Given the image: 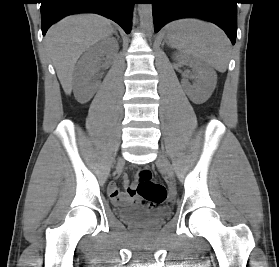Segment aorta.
<instances>
[{"label": "aorta", "mask_w": 279, "mask_h": 267, "mask_svg": "<svg viewBox=\"0 0 279 267\" xmlns=\"http://www.w3.org/2000/svg\"><path fill=\"white\" fill-rule=\"evenodd\" d=\"M138 13H139L141 27L145 31L150 32L153 28L152 4L139 3Z\"/></svg>", "instance_id": "obj_1"}]
</instances>
